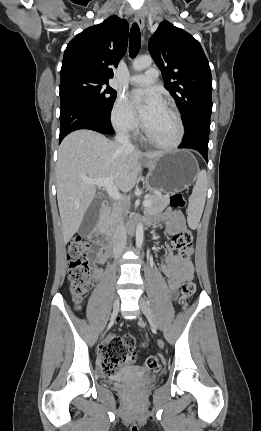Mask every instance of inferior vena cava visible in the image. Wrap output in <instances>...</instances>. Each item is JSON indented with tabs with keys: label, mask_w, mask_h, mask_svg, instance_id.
<instances>
[{
	"label": "inferior vena cava",
	"mask_w": 261,
	"mask_h": 431,
	"mask_svg": "<svg viewBox=\"0 0 261 431\" xmlns=\"http://www.w3.org/2000/svg\"><path fill=\"white\" fill-rule=\"evenodd\" d=\"M115 140L124 148L134 149V146L130 142L129 135L124 131L117 133ZM115 218L116 227L112 238V244L114 255L115 257H118L124 252L126 248V230L124 227L121 211L118 208L115 209Z\"/></svg>",
	"instance_id": "1"
}]
</instances>
